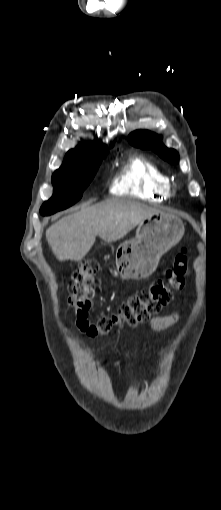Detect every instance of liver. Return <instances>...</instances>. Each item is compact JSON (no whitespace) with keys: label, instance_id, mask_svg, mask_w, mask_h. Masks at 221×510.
Listing matches in <instances>:
<instances>
[{"label":"liver","instance_id":"liver-1","mask_svg":"<svg viewBox=\"0 0 221 510\" xmlns=\"http://www.w3.org/2000/svg\"><path fill=\"white\" fill-rule=\"evenodd\" d=\"M159 212L136 201L108 199L61 218L46 230V239L59 261H80L97 236L106 242L118 241Z\"/></svg>","mask_w":221,"mask_h":510}]
</instances>
